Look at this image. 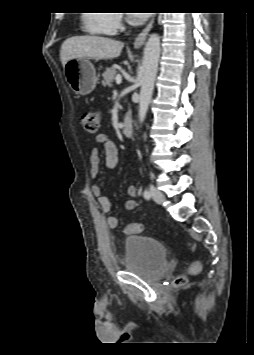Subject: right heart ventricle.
Instances as JSON below:
<instances>
[{
  "instance_id": "obj_1",
  "label": "right heart ventricle",
  "mask_w": 254,
  "mask_h": 355,
  "mask_svg": "<svg viewBox=\"0 0 254 355\" xmlns=\"http://www.w3.org/2000/svg\"><path fill=\"white\" fill-rule=\"evenodd\" d=\"M85 30L92 35H111L113 34L106 23V14L91 12L83 18Z\"/></svg>"
}]
</instances>
